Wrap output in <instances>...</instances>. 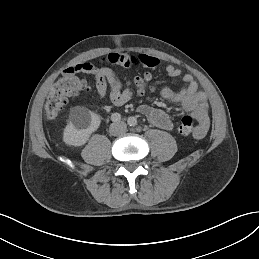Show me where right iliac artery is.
<instances>
[{"mask_svg": "<svg viewBox=\"0 0 259 259\" xmlns=\"http://www.w3.org/2000/svg\"><path fill=\"white\" fill-rule=\"evenodd\" d=\"M111 120L113 122H119L121 120V115L119 113H113L111 115Z\"/></svg>", "mask_w": 259, "mask_h": 259, "instance_id": "1", "label": "right iliac artery"}]
</instances>
